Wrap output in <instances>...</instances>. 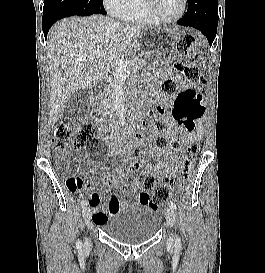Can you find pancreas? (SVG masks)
<instances>
[{
    "mask_svg": "<svg viewBox=\"0 0 265 273\" xmlns=\"http://www.w3.org/2000/svg\"><path fill=\"white\" fill-rule=\"evenodd\" d=\"M144 64V61L140 60L136 55L129 54L126 57L120 59L115 64V72H113L108 87L102 93L100 102V109L110 111L113 108V99L115 96V89L121 84L119 77L116 75V70L122 68L123 70L130 71V75L133 76Z\"/></svg>",
    "mask_w": 265,
    "mask_h": 273,
    "instance_id": "cf45deb5",
    "label": "pancreas"
}]
</instances>
